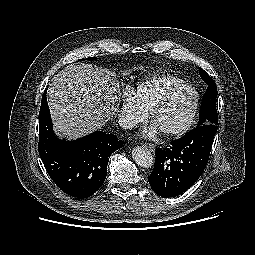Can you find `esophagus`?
<instances>
[{"label": "esophagus", "instance_id": "1", "mask_svg": "<svg viewBox=\"0 0 255 255\" xmlns=\"http://www.w3.org/2000/svg\"><path fill=\"white\" fill-rule=\"evenodd\" d=\"M143 146H144L145 148H147V149H148L149 151H151V152H154V150H155V146H154L153 144L144 143Z\"/></svg>", "mask_w": 255, "mask_h": 255}]
</instances>
